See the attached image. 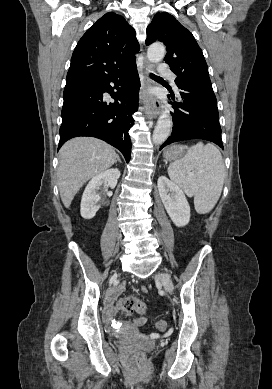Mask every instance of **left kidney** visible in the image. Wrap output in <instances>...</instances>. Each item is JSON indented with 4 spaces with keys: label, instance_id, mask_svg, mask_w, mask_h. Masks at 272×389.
<instances>
[{
    "label": "left kidney",
    "instance_id": "1",
    "mask_svg": "<svg viewBox=\"0 0 272 389\" xmlns=\"http://www.w3.org/2000/svg\"><path fill=\"white\" fill-rule=\"evenodd\" d=\"M158 191L162 203L177 227L186 226L190 221V206L182 189L166 176L158 178Z\"/></svg>",
    "mask_w": 272,
    "mask_h": 389
}]
</instances>
